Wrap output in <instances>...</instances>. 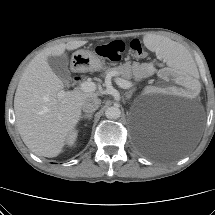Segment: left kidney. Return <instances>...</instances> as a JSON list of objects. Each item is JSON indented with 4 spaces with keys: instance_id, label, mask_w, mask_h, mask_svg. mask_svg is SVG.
I'll list each match as a JSON object with an SVG mask.
<instances>
[{
    "instance_id": "left-kidney-1",
    "label": "left kidney",
    "mask_w": 215,
    "mask_h": 215,
    "mask_svg": "<svg viewBox=\"0 0 215 215\" xmlns=\"http://www.w3.org/2000/svg\"><path fill=\"white\" fill-rule=\"evenodd\" d=\"M160 88L167 94L194 97L199 92L197 82L189 75L177 70L164 69L160 73Z\"/></svg>"
}]
</instances>
